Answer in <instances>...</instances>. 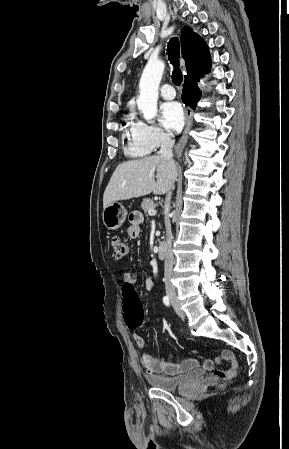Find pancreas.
Wrapping results in <instances>:
<instances>
[{"label": "pancreas", "instance_id": "cf45deb5", "mask_svg": "<svg viewBox=\"0 0 289 449\" xmlns=\"http://www.w3.org/2000/svg\"><path fill=\"white\" fill-rule=\"evenodd\" d=\"M141 207L144 210L145 213H148V211L150 209H154L155 208V204L153 202V200L149 199V198H145L143 199L142 203H141Z\"/></svg>", "mask_w": 289, "mask_h": 449}]
</instances>
